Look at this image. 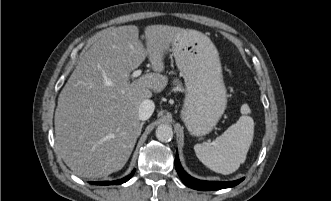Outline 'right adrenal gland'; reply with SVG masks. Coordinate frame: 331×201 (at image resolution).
<instances>
[{"instance_id": "right-adrenal-gland-1", "label": "right adrenal gland", "mask_w": 331, "mask_h": 201, "mask_svg": "<svg viewBox=\"0 0 331 201\" xmlns=\"http://www.w3.org/2000/svg\"><path fill=\"white\" fill-rule=\"evenodd\" d=\"M143 124H144V122H142V123H141V125H140V126H141V128H142Z\"/></svg>"}]
</instances>
